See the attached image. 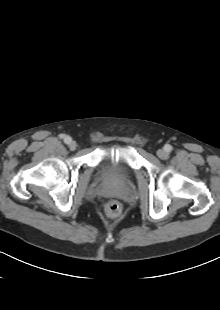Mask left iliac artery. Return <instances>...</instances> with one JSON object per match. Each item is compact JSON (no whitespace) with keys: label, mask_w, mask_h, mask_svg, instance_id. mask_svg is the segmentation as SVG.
<instances>
[{"label":"left iliac artery","mask_w":220,"mask_h":310,"mask_svg":"<svg viewBox=\"0 0 220 310\" xmlns=\"http://www.w3.org/2000/svg\"><path fill=\"white\" fill-rule=\"evenodd\" d=\"M164 149H165V151H167V152H171V151H172V146L169 145V144H166V145L164 146Z\"/></svg>","instance_id":"1"}]
</instances>
